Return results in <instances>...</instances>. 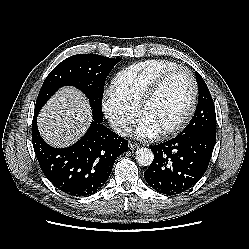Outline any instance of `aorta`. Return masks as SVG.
Returning a JSON list of instances; mask_svg holds the SVG:
<instances>
[{"label":"aorta","instance_id":"1","mask_svg":"<svg viewBox=\"0 0 249 249\" xmlns=\"http://www.w3.org/2000/svg\"><path fill=\"white\" fill-rule=\"evenodd\" d=\"M135 159L141 166H149L154 160V154L149 148H139L135 152Z\"/></svg>","mask_w":249,"mask_h":249}]
</instances>
